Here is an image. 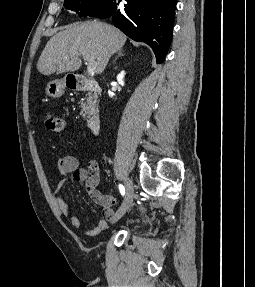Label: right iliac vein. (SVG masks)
<instances>
[{"label":"right iliac vein","mask_w":255,"mask_h":287,"mask_svg":"<svg viewBox=\"0 0 255 287\" xmlns=\"http://www.w3.org/2000/svg\"><path fill=\"white\" fill-rule=\"evenodd\" d=\"M134 198V187L130 180L126 181V195L121 207L118 209L114 217L112 218V222L118 221L131 207Z\"/></svg>","instance_id":"obj_1"}]
</instances>
